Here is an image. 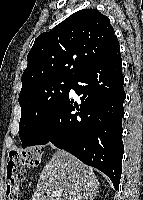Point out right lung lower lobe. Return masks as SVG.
<instances>
[{
	"label": "right lung lower lobe",
	"mask_w": 143,
	"mask_h": 200,
	"mask_svg": "<svg viewBox=\"0 0 143 200\" xmlns=\"http://www.w3.org/2000/svg\"><path fill=\"white\" fill-rule=\"evenodd\" d=\"M120 47L89 65L72 81L80 99L69 97L39 128L28 146L51 142L83 163L105 173L118 189L122 172V124L124 116Z\"/></svg>",
	"instance_id": "98d812e1"
}]
</instances>
